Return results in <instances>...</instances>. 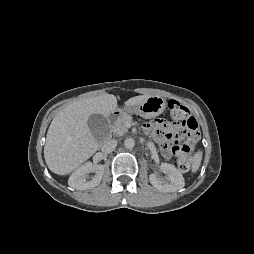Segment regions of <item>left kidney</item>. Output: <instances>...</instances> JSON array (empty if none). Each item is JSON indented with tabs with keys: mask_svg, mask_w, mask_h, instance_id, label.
I'll return each instance as SVG.
<instances>
[{
	"mask_svg": "<svg viewBox=\"0 0 254 254\" xmlns=\"http://www.w3.org/2000/svg\"><path fill=\"white\" fill-rule=\"evenodd\" d=\"M160 169L166 174V180L158 178L155 174H150L149 180L153 187L163 192H175L184 187V178L174 165L162 163Z\"/></svg>",
	"mask_w": 254,
	"mask_h": 254,
	"instance_id": "obj_1",
	"label": "left kidney"
}]
</instances>
